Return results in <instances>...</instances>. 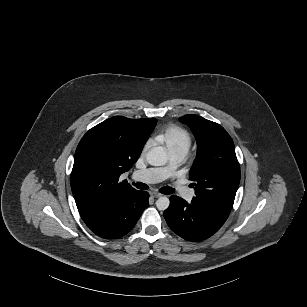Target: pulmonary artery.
<instances>
[{
	"label": "pulmonary artery",
	"instance_id": "e3ab8cb5",
	"mask_svg": "<svg viewBox=\"0 0 307 307\" xmlns=\"http://www.w3.org/2000/svg\"><path fill=\"white\" fill-rule=\"evenodd\" d=\"M186 155L185 151H174L170 152L171 159L173 161H181ZM170 171L167 168H150L148 170L141 169L136 174V179L141 184H146L148 182L152 184H157L160 181L166 179ZM131 178H134V174H130ZM174 187L178 191V195L183 200H188L193 195V190L189 186V182L184 177H179L174 182Z\"/></svg>",
	"mask_w": 307,
	"mask_h": 307
}]
</instances>
